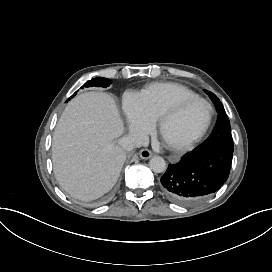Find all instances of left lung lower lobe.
I'll return each instance as SVG.
<instances>
[{
	"instance_id": "1",
	"label": "left lung lower lobe",
	"mask_w": 272,
	"mask_h": 272,
	"mask_svg": "<svg viewBox=\"0 0 272 272\" xmlns=\"http://www.w3.org/2000/svg\"><path fill=\"white\" fill-rule=\"evenodd\" d=\"M233 151L199 149L170 165L161 178V189L179 205H191L216 192L228 179Z\"/></svg>"
}]
</instances>
